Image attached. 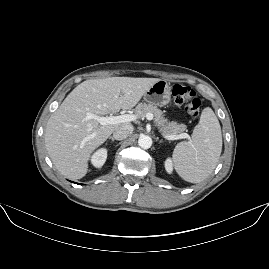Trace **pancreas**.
<instances>
[{"instance_id": "1", "label": "pancreas", "mask_w": 269, "mask_h": 269, "mask_svg": "<svg viewBox=\"0 0 269 269\" xmlns=\"http://www.w3.org/2000/svg\"><path fill=\"white\" fill-rule=\"evenodd\" d=\"M136 115L139 119L144 118L147 113H152L155 116L153 121L154 126L158 128L159 133L162 136L180 133L184 131V124H177L176 122H171L167 118H165L164 113L157 106H153L146 103H140L136 110Z\"/></svg>"}]
</instances>
